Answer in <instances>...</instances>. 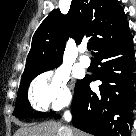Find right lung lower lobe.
<instances>
[{
  "mask_svg": "<svg viewBox=\"0 0 136 136\" xmlns=\"http://www.w3.org/2000/svg\"><path fill=\"white\" fill-rule=\"evenodd\" d=\"M95 59L101 66L98 73L75 88L72 123L95 136H130L136 85L132 35L103 46ZM94 80L102 81L97 93L88 86Z\"/></svg>",
  "mask_w": 136,
  "mask_h": 136,
  "instance_id": "right-lung-lower-lobe-1",
  "label": "right lung lower lobe"
}]
</instances>
